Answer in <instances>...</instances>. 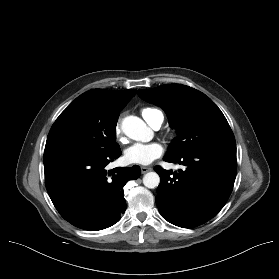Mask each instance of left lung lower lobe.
Returning a JSON list of instances; mask_svg holds the SVG:
<instances>
[{
	"mask_svg": "<svg viewBox=\"0 0 279 279\" xmlns=\"http://www.w3.org/2000/svg\"><path fill=\"white\" fill-rule=\"evenodd\" d=\"M164 160L179 163L184 171L154 170L161 182L156 204L165 220L192 228L212 219L226 204L237 172L236 146H209Z\"/></svg>",
	"mask_w": 279,
	"mask_h": 279,
	"instance_id": "left-lung-lower-lobe-1",
	"label": "left lung lower lobe"
}]
</instances>
